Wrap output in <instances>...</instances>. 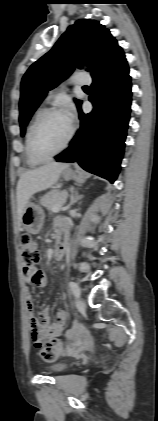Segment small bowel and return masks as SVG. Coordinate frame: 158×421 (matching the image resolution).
<instances>
[{"label": "small bowel", "mask_w": 158, "mask_h": 421, "mask_svg": "<svg viewBox=\"0 0 158 421\" xmlns=\"http://www.w3.org/2000/svg\"><path fill=\"white\" fill-rule=\"evenodd\" d=\"M55 226L58 235L67 232L68 225L65 220L61 218L56 219ZM23 274L28 284L38 288L46 287L47 278L43 271L37 268H23ZM26 302L30 313L29 324L31 336L36 347H40L46 340L60 335H64L73 346H78L86 340V331L79 322H74L69 330L64 331V326L67 322L66 312H56L54 321H51L50 313L47 308L38 313L35 312L30 293L27 294Z\"/></svg>", "instance_id": "obj_1"}]
</instances>
